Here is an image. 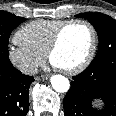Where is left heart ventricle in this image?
<instances>
[{"mask_svg": "<svg viewBox=\"0 0 116 116\" xmlns=\"http://www.w3.org/2000/svg\"><path fill=\"white\" fill-rule=\"evenodd\" d=\"M90 45L89 29L82 24L71 25L64 31L51 62L60 69L73 68L85 59Z\"/></svg>", "mask_w": 116, "mask_h": 116, "instance_id": "1", "label": "left heart ventricle"}]
</instances>
